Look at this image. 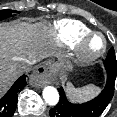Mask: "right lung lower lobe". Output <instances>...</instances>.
Listing matches in <instances>:
<instances>
[{"label": "right lung lower lobe", "mask_w": 117, "mask_h": 117, "mask_svg": "<svg viewBox=\"0 0 117 117\" xmlns=\"http://www.w3.org/2000/svg\"><path fill=\"white\" fill-rule=\"evenodd\" d=\"M26 85V75H22L0 99V117L13 116L17 105V95Z\"/></svg>", "instance_id": "obj_1"}]
</instances>
